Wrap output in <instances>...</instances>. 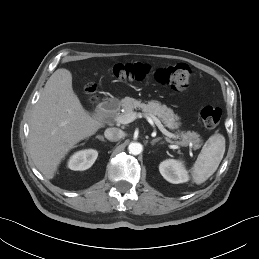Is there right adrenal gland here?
I'll use <instances>...</instances> for the list:
<instances>
[{"label":"right adrenal gland","mask_w":259,"mask_h":259,"mask_svg":"<svg viewBox=\"0 0 259 259\" xmlns=\"http://www.w3.org/2000/svg\"><path fill=\"white\" fill-rule=\"evenodd\" d=\"M96 138H98L100 141H104V142H106V140L104 139V137L103 136H96Z\"/></svg>","instance_id":"obj_1"}]
</instances>
